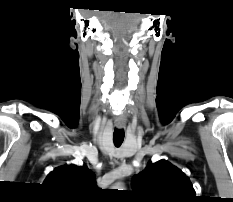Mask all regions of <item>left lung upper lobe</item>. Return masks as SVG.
Instances as JSON below:
<instances>
[{
    "mask_svg": "<svg viewBox=\"0 0 233 202\" xmlns=\"http://www.w3.org/2000/svg\"><path fill=\"white\" fill-rule=\"evenodd\" d=\"M133 189L145 202H193L196 194L189 178L165 160L148 163L133 176Z\"/></svg>",
    "mask_w": 233,
    "mask_h": 202,
    "instance_id": "left-lung-upper-lobe-1",
    "label": "left lung upper lobe"
}]
</instances>
